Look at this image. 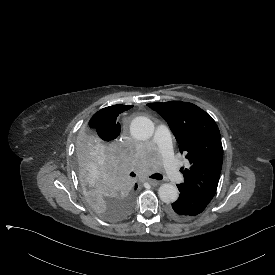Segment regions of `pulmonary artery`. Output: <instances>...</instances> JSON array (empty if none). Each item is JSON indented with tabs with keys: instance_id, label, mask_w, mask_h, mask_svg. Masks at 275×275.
<instances>
[{
	"instance_id": "e3ab8cb5",
	"label": "pulmonary artery",
	"mask_w": 275,
	"mask_h": 275,
	"mask_svg": "<svg viewBox=\"0 0 275 275\" xmlns=\"http://www.w3.org/2000/svg\"><path fill=\"white\" fill-rule=\"evenodd\" d=\"M158 152L162 155L164 165L166 166V176L170 181H177L180 178V170L177 155L174 148L168 142L170 132L167 129H160L157 132Z\"/></svg>"
}]
</instances>
